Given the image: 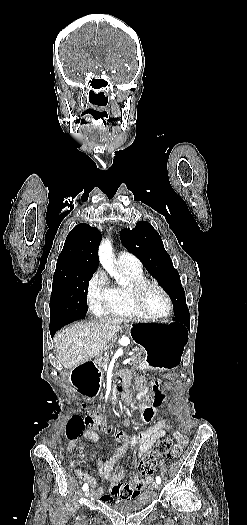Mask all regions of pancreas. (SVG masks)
I'll list each match as a JSON object with an SVG mask.
<instances>
[{
  "label": "pancreas",
  "instance_id": "cf45deb5",
  "mask_svg": "<svg viewBox=\"0 0 247 525\" xmlns=\"http://www.w3.org/2000/svg\"><path fill=\"white\" fill-rule=\"evenodd\" d=\"M129 353H133L134 356H133V359H135L136 361H146L148 360V355H146L145 353H147V350L145 349H140V352L137 348H134L133 350H129ZM96 365H102L103 364V361H102V358H96V361H95Z\"/></svg>",
  "mask_w": 247,
  "mask_h": 525
}]
</instances>
